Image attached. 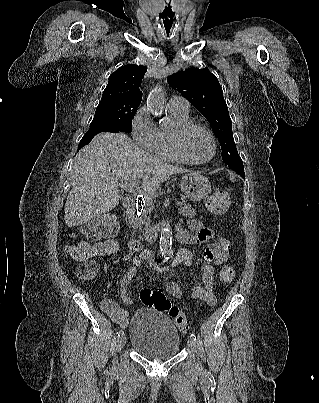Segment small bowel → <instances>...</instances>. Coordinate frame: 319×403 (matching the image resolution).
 I'll list each match as a JSON object with an SVG mask.
<instances>
[{
    "instance_id": "c3829d8e",
    "label": "small bowel",
    "mask_w": 319,
    "mask_h": 403,
    "mask_svg": "<svg viewBox=\"0 0 319 403\" xmlns=\"http://www.w3.org/2000/svg\"><path fill=\"white\" fill-rule=\"evenodd\" d=\"M189 226L193 233H189L185 230L179 229L177 232V238L179 241L189 245H198L211 242L205 248L203 258L205 263L201 265L202 272V284L195 285L192 290V298L205 302L208 305H215L217 303V296L214 292V267L215 265L222 264L228 258L230 252L229 243L213 230L203 227L197 220L192 219L189 221ZM97 256L107 254H96ZM143 260H148L150 267L158 272H165L171 266L177 264H185L188 268L192 267L193 257L190 251L182 250L175 257L170 266H161L154 261L153 255L144 251L138 256H134L130 260V266L127 273L122 277L119 298L124 304H131L133 298L130 295L131 280L137 272V268L142 264ZM171 296L176 299H180L182 296L181 289L178 284L174 282L163 281L159 283ZM101 309L111 317V319L121 328H126L129 323V315L125 308L120 304L103 300L100 304Z\"/></svg>"
}]
</instances>
